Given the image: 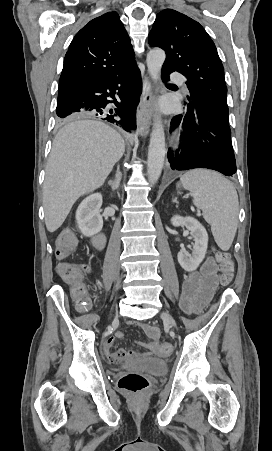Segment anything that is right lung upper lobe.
Masks as SVG:
<instances>
[{
    "mask_svg": "<svg viewBox=\"0 0 272 451\" xmlns=\"http://www.w3.org/2000/svg\"><path fill=\"white\" fill-rule=\"evenodd\" d=\"M135 62L130 38L117 12H107L85 25L65 55L59 91L107 79Z\"/></svg>",
    "mask_w": 272,
    "mask_h": 451,
    "instance_id": "cb5924a9",
    "label": "right lung upper lobe"
}]
</instances>
